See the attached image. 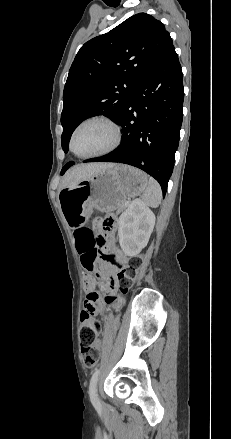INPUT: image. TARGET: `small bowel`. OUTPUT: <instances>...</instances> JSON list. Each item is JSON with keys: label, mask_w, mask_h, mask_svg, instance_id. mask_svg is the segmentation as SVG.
<instances>
[{"label": "small bowel", "mask_w": 231, "mask_h": 439, "mask_svg": "<svg viewBox=\"0 0 231 439\" xmlns=\"http://www.w3.org/2000/svg\"><path fill=\"white\" fill-rule=\"evenodd\" d=\"M98 230H102L101 227H99ZM73 236L76 251L80 257V260H82V257L90 251H96L102 256V269L104 273L108 275V277L101 285V289L104 293L115 291L116 286L113 274L116 271V266L111 264L109 261L111 259H116L119 263H121L123 258L118 249L111 245L112 234H109L108 239L105 241H96L93 237L92 231L89 228L83 226H74ZM84 284L87 293L84 302V309H93L96 314H101L104 309V304L95 293L96 281L92 276H86ZM94 346L96 349L100 350L102 347V341L97 340Z\"/></svg>", "instance_id": "c3829d8e"}]
</instances>
